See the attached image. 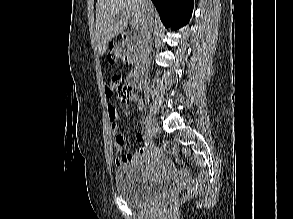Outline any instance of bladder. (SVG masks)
<instances>
[{
  "label": "bladder",
  "mask_w": 293,
  "mask_h": 219,
  "mask_svg": "<svg viewBox=\"0 0 293 219\" xmlns=\"http://www.w3.org/2000/svg\"><path fill=\"white\" fill-rule=\"evenodd\" d=\"M117 194L130 205H143L163 191L168 184L164 177H150L136 165H126L114 173Z\"/></svg>",
  "instance_id": "1"
}]
</instances>
